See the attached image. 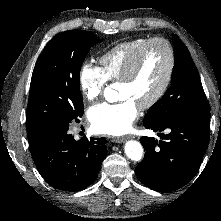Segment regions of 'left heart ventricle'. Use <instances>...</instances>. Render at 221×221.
I'll return each instance as SVG.
<instances>
[{"label": "left heart ventricle", "instance_id": "b2bd125f", "mask_svg": "<svg viewBox=\"0 0 221 221\" xmlns=\"http://www.w3.org/2000/svg\"><path fill=\"white\" fill-rule=\"evenodd\" d=\"M168 67V54L164 45L149 46L142 57L137 73L130 82L119 83L120 98H130L140 106L148 101L164 81Z\"/></svg>", "mask_w": 221, "mask_h": 221}]
</instances>
